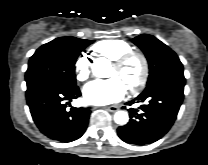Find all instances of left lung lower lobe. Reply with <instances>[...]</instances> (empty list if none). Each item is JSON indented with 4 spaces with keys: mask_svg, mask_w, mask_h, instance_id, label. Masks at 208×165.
<instances>
[{
    "mask_svg": "<svg viewBox=\"0 0 208 165\" xmlns=\"http://www.w3.org/2000/svg\"><path fill=\"white\" fill-rule=\"evenodd\" d=\"M185 78H169L145 90L135 100L144 103L140 111L130 108V121L117 129L126 143L144 145L162 138L176 120L184 97ZM125 108V107H123Z\"/></svg>",
    "mask_w": 208,
    "mask_h": 165,
    "instance_id": "1",
    "label": "left lung lower lobe"
}]
</instances>
